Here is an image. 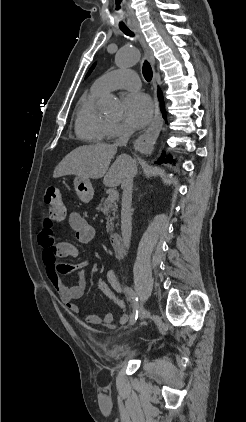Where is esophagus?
<instances>
[{"mask_svg": "<svg viewBox=\"0 0 246 422\" xmlns=\"http://www.w3.org/2000/svg\"><path fill=\"white\" fill-rule=\"evenodd\" d=\"M132 29L133 31L137 34V38L139 40V43L141 44L145 57L149 60V62L151 63L152 67H153V71H154V85L156 83V75H155V60H154V56H153V52L151 50V48L149 47L142 31L141 28L139 26V24H135L132 25ZM162 116L160 113V107H159V102L156 100L155 102V112H154V116L153 119L151 121L150 126L148 127V129L142 134L140 135L137 140L134 143V147L135 149H137L138 151H140L141 153H148L151 152L153 149V145L159 135V132L161 130L162 127Z\"/></svg>", "mask_w": 246, "mask_h": 422, "instance_id": "obj_1", "label": "esophagus"}]
</instances>
